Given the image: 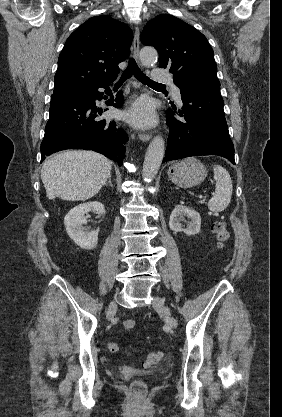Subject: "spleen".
<instances>
[{
  "mask_svg": "<svg viewBox=\"0 0 282 417\" xmlns=\"http://www.w3.org/2000/svg\"><path fill=\"white\" fill-rule=\"evenodd\" d=\"M214 180L215 182V194L210 198L208 202V209L211 213H221L224 209H227V206L231 200L233 186L231 176L220 164H214Z\"/></svg>",
  "mask_w": 282,
  "mask_h": 417,
  "instance_id": "3e777b00",
  "label": "spleen"
}]
</instances>
